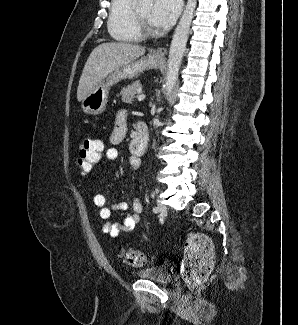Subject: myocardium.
Instances as JSON below:
<instances>
[{
  "label": "myocardium",
  "instance_id": "myocardium-1",
  "mask_svg": "<svg viewBox=\"0 0 298 325\" xmlns=\"http://www.w3.org/2000/svg\"><path fill=\"white\" fill-rule=\"evenodd\" d=\"M141 0H132L131 6H130V28L134 32V34L140 38V39H150L157 37L159 35V30L155 31L149 28L141 14H140V3Z\"/></svg>",
  "mask_w": 298,
  "mask_h": 325
}]
</instances>
